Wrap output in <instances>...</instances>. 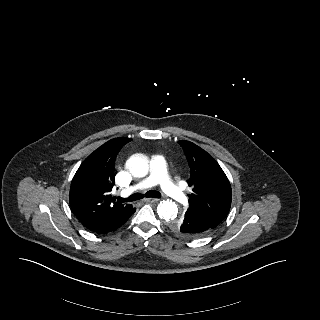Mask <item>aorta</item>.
Returning <instances> with one entry per match:
<instances>
[{
  "label": "aorta",
  "mask_w": 320,
  "mask_h": 320,
  "mask_svg": "<svg viewBox=\"0 0 320 320\" xmlns=\"http://www.w3.org/2000/svg\"><path fill=\"white\" fill-rule=\"evenodd\" d=\"M127 168L134 177H145L149 171L148 160L141 154H134L127 160ZM157 213L166 222L175 221L178 207L171 200H163L157 206Z\"/></svg>",
  "instance_id": "1"
}]
</instances>
